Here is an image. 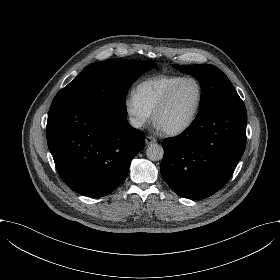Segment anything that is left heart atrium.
Segmentation results:
<instances>
[{"instance_id": "left-heart-atrium-1", "label": "left heart atrium", "mask_w": 280, "mask_h": 280, "mask_svg": "<svg viewBox=\"0 0 280 280\" xmlns=\"http://www.w3.org/2000/svg\"><path fill=\"white\" fill-rule=\"evenodd\" d=\"M155 126L160 131H164L165 130L164 126L160 122H158V121L156 122Z\"/></svg>"}]
</instances>
